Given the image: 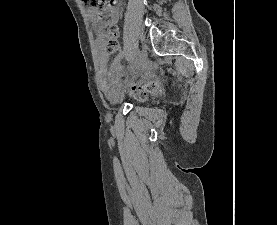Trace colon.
Listing matches in <instances>:
<instances>
[{"mask_svg":"<svg viewBox=\"0 0 277 225\" xmlns=\"http://www.w3.org/2000/svg\"><path fill=\"white\" fill-rule=\"evenodd\" d=\"M81 2L83 3V5L95 10L98 17L103 18L108 16L110 0H81ZM104 35L106 37L104 45L105 51L108 54L116 52L119 48V44L115 36V30L111 29ZM155 89V82H148L145 85L133 87L130 91V95L134 99L141 100L144 99L148 93L153 92Z\"/></svg>","mask_w":277,"mask_h":225,"instance_id":"colon-1","label":"colon"}]
</instances>
